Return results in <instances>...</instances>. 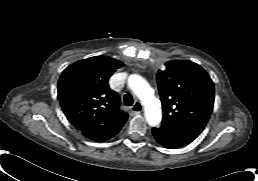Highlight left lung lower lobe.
Masks as SVG:
<instances>
[{
    "label": "left lung lower lobe",
    "instance_id": "obj_1",
    "mask_svg": "<svg viewBox=\"0 0 258 181\" xmlns=\"http://www.w3.org/2000/svg\"><path fill=\"white\" fill-rule=\"evenodd\" d=\"M152 134L156 141L168 149H176L191 143L198 135L187 131L162 125L153 128Z\"/></svg>",
    "mask_w": 258,
    "mask_h": 181
}]
</instances>
